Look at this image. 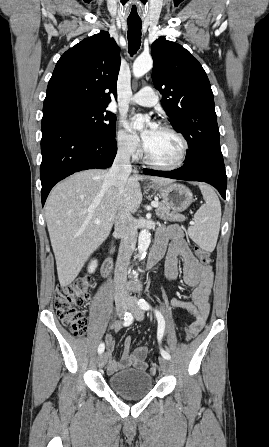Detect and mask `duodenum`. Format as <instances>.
<instances>
[{"instance_id": "410a0bca", "label": "duodenum", "mask_w": 269, "mask_h": 447, "mask_svg": "<svg viewBox=\"0 0 269 447\" xmlns=\"http://www.w3.org/2000/svg\"><path fill=\"white\" fill-rule=\"evenodd\" d=\"M162 253L163 252L161 250L154 248L150 252L148 262H147V267L152 268L160 260ZM111 266H112V249L110 250L109 255L106 257V259L104 260V263L102 265V274L104 276L109 274V272L111 270Z\"/></svg>"}]
</instances>
